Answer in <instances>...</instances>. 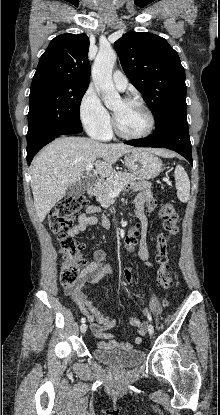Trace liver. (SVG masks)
Masks as SVG:
<instances>
[{
  "label": "liver",
  "mask_w": 220,
  "mask_h": 415,
  "mask_svg": "<svg viewBox=\"0 0 220 415\" xmlns=\"http://www.w3.org/2000/svg\"><path fill=\"white\" fill-rule=\"evenodd\" d=\"M141 149L119 144H106L85 137H61L47 145L31 165V189L38 220L42 222L67 188L81 179L90 163L103 177L111 173L112 165L124 154ZM161 156H173L155 150Z\"/></svg>",
  "instance_id": "liver-1"
}]
</instances>
